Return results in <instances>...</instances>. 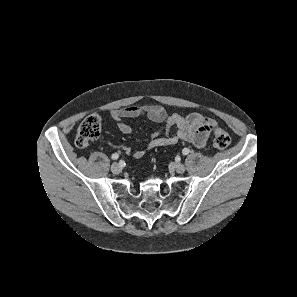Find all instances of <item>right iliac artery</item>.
<instances>
[{"instance_id":"82829eb1","label":"right iliac artery","mask_w":297,"mask_h":297,"mask_svg":"<svg viewBox=\"0 0 297 297\" xmlns=\"http://www.w3.org/2000/svg\"><path fill=\"white\" fill-rule=\"evenodd\" d=\"M111 158L113 160H117L119 158V154L118 153H114V154H112Z\"/></svg>"}]
</instances>
